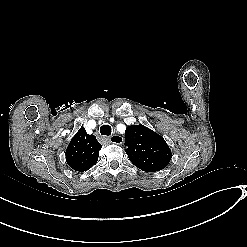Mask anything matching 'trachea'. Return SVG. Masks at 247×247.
<instances>
[{"mask_svg": "<svg viewBox=\"0 0 247 247\" xmlns=\"http://www.w3.org/2000/svg\"><path fill=\"white\" fill-rule=\"evenodd\" d=\"M111 132H112L111 126L108 125V124L103 125V126H101V128H100V133H101V135H103V136H109V135H111Z\"/></svg>", "mask_w": 247, "mask_h": 247, "instance_id": "3493384b", "label": "trachea"}]
</instances>
